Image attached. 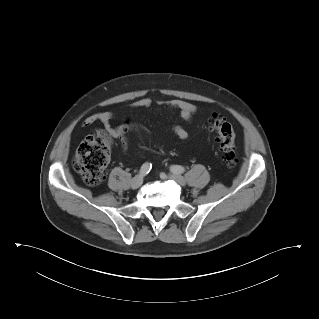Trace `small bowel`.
Segmentation results:
<instances>
[{
    "instance_id": "obj_1",
    "label": "small bowel",
    "mask_w": 319,
    "mask_h": 319,
    "mask_svg": "<svg viewBox=\"0 0 319 319\" xmlns=\"http://www.w3.org/2000/svg\"><path fill=\"white\" fill-rule=\"evenodd\" d=\"M156 103L168 107L170 109L176 110L179 114L187 121H190L197 112V106L193 103L186 102L179 99L170 100H152L148 97H143L132 103L131 107L135 109H149ZM113 118V113L110 111H103L93 115L88 116L85 119V124L90 125L95 122H101L103 124V129L97 130L98 134L104 137H120L122 130L113 126L111 121ZM136 131H139L147 136H151V130L144 125L137 124L133 127ZM173 133L181 140H186L189 138V131L181 124H175L172 126ZM125 144V143H123Z\"/></svg>"
}]
</instances>
